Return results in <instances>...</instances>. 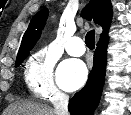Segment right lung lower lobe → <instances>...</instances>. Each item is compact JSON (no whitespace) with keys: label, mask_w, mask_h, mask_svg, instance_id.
<instances>
[{"label":"right lung lower lobe","mask_w":131,"mask_h":115,"mask_svg":"<svg viewBox=\"0 0 131 115\" xmlns=\"http://www.w3.org/2000/svg\"><path fill=\"white\" fill-rule=\"evenodd\" d=\"M107 44L108 38L99 40L94 52V64L87 84L72 97L68 105L71 115H93L104 84Z\"/></svg>","instance_id":"98d812e1"}]
</instances>
